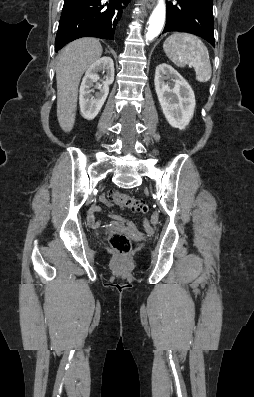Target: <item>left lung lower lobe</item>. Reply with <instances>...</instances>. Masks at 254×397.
<instances>
[{"instance_id":"left-lung-lower-lobe-1","label":"left lung lower lobe","mask_w":254,"mask_h":397,"mask_svg":"<svg viewBox=\"0 0 254 397\" xmlns=\"http://www.w3.org/2000/svg\"><path fill=\"white\" fill-rule=\"evenodd\" d=\"M213 0H177L167 3L163 33L182 31L198 35L215 46L212 14Z\"/></svg>"}]
</instances>
